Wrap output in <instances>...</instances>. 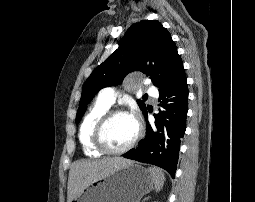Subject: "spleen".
Returning <instances> with one entry per match:
<instances>
[{
  "label": "spleen",
  "instance_id": "3e777b00",
  "mask_svg": "<svg viewBox=\"0 0 255 202\" xmlns=\"http://www.w3.org/2000/svg\"><path fill=\"white\" fill-rule=\"evenodd\" d=\"M149 172L152 174L153 179H154V186H155V190L157 192H159L165 182V175L162 172V170L155 168V167H150L149 168Z\"/></svg>",
  "mask_w": 255,
  "mask_h": 202
}]
</instances>
